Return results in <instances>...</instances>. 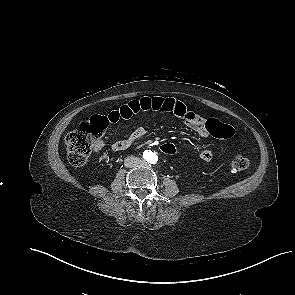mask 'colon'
Wrapping results in <instances>:
<instances>
[{
  "instance_id": "1",
  "label": "colon",
  "mask_w": 295,
  "mask_h": 295,
  "mask_svg": "<svg viewBox=\"0 0 295 295\" xmlns=\"http://www.w3.org/2000/svg\"><path fill=\"white\" fill-rule=\"evenodd\" d=\"M107 127V122L103 116L95 115L80 122L78 127L70 132L65 138V147L69 162L73 166L84 165L91 153L93 144L101 137ZM207 130L217 138L228 139L234 136L235 129L229 124L218 120L210 119L207 122ZM160 150L167 155L175 156L179 149L170 141H162ZM234 171L245 170L249 166V159L245 156H236L232 161Z\"/></svg>"
}]
</instances>
